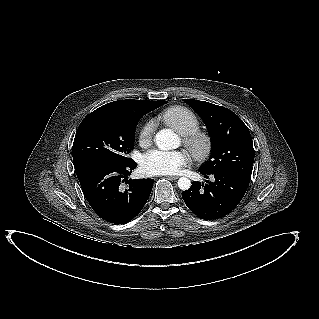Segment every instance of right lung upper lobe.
Instances as JSON below:
<instances>
[{
    "label": "right lung upper lobe",
    "instance_id": "obj_1",
    "mask_svg": "<svg viewBox=\"0 0 319 319\" xmlns=\"http://www.w3.org/2000/svg\"><path fill=\"white\" fill-rule=\"evenodd\" d=\"M159 101H145V100H134V99H126V100H119L110 102L105 104L98 109H111V108H120V109H131V108H141V107H151L158 103Z\"/></svg>",
    "mask_w": 319,
    "mask_h": 319
}]
</instances>
